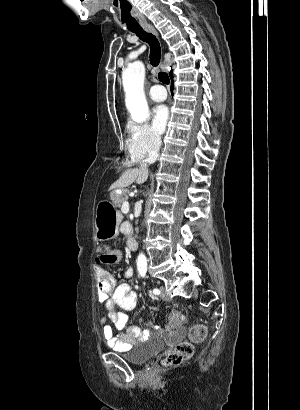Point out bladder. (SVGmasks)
Segmentation results:
<instances>
[{"label": "bladder", "mask_w": 300, "mask_h": 410, "mask_svg": "<svg viewBox=\"0 0 300 410\" xmlns=\"http://www.w3.org/2000/svg\"><path fill=\"white\" fill-rule=\"evenodd\" d=\"M161 348V343H137L131 350L123 352L122 357L133 365H142L149 361Z\"/></svg>", "instance_id": "bladder-1"}]
</instances>
